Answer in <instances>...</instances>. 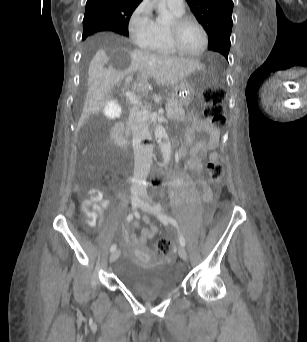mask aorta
<instances>
[{"label":"aorta","instance_id":"aorta-1","mask_svg":"<svg viewBox=\"0 0 307 342\" xmlns=\"http://www.w3.org/2000/svg\"><path fill=\"white\" fill-rule=\"evenodd\" d=\"M158 10L161 12V14H159L157 22H164L168 16L166 0H158ZM154 136L155 138H158L157 142L162 152L163 162L164 164H168V162L171 160L172 148L164 126H160V124L155 126Z\"/></svg>","mask_w":307,"mask_h":342}]
</instances>
